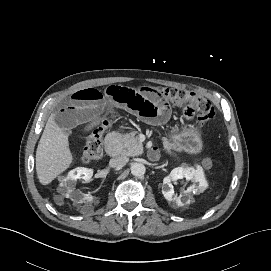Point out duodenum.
<instances>
[{
  "mask_svg": "<svg viewBox=\"0 0 271 271\" xmlns=\"http://www.w3.org/2000/svg\"><path fill=\"white\" fill-rule=\"evenodd\" d=\"M106 152L111 157H118L121 151V137L117 132H111L105 139Z\"/></svg>",
  "mask_w": 271,
  "mask_h": 271,
  "instance_id": "duodenum-1",
  "label": "duodenum"
}]
</instances>
